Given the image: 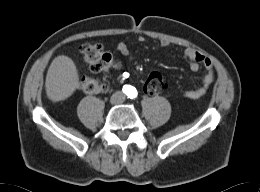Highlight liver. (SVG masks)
Returning <instances> with one entry per match:
<instances>
[{
	"instance_id": "6515ba94",
	"label": "liver",
	"mask_w": 260,
	"mask_h": 192,
	"mask_svg": "<svg viewBox=\"0 0 260 192\" xmlns=\"http://www.w3.org/2000/svg\"><path fill=\"white\" fill-rule=\"evenodd\" d=\"M46 93L54 102L70 97L79 87V74L74 61L65 55L55 57L48 68Z\"/></svg>"
}]
</instances>
